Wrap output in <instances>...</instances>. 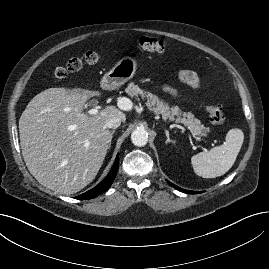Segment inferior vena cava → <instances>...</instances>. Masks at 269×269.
Returning a JSON list of instances; mask_svg holds the SVG:
<instances>
[{
    "label": "inferior vena cava",
    "mask_w": 269,
    "mask_h": 269,
    "mask_svg": "<svg viewBox=\"0 0 269 269\" xmlns=\"http://www.w3.org/2000/svg\"><path fill=\"white\" fill-rule=\"evenodd\" d=\"M121 124V119L119 117H111L108 119V121L106 122V127L109 129H115L117 127H119Z\"/></svg>",
    "instance_id": "inferior-vena-cava-1"
}]
</instances>
